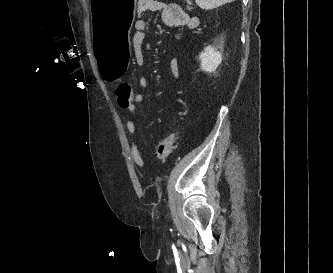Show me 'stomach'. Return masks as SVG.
Returning a JSON list of instances; mask_svg holds the SVG:
<instances>
[{"mask_svg": "<svg viewBox=\"0 0 333 273\" xmlns=\"http://www.w3.org/2000/svg\"><path fill=\"white\" fill-rule=\"evenodd\" d=\"M136 0H92L93 56L97 59V75L100 81H121L128 75L130 58L129 32L135 23Z\"/></svg>", "mask_w": 333, "mask_h": 273, "instance_id": "0dacf381", "label": "stomach"}]
</instances>
